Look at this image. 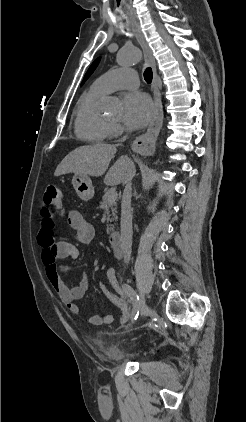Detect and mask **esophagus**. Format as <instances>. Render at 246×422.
<instances>
[{"label": "esophagus", "mask_w": 246, "mask_h": 422, "mask_svg": "<svg viewBox=\"0 0 246 422\" xmlns=\"http://www.w3.org/2000/svg\"><path fill=\"white\" fill-rule=\"evenodd\" d=\"M132 29L136 35V38L142 47L144 53L145 62L152 68L153 71V90H154V115L152 121L147 129V131L137 137L133 144L132 149L142 155L151 154L155 149V142L160 132L163 123V114H162V103L159 95L158 85H157V69L155 59L151 48L149 47L139 25H133Z\"/></svg>", "instance_id": "1"}]
</instances>
